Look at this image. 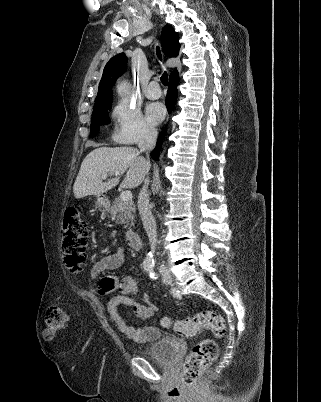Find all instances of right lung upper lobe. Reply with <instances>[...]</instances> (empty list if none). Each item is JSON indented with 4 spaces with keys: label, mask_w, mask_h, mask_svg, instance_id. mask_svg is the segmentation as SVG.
I'll return each mask as SVG.
<instances>
[{
    "label": "right lung upper lobe",
    "mask_w": 321,
    "mask_h": 402,
    "mask_svg": "<svg viewBox=\"0 0 321 402\" xmlns=\"http://www.w3.org/2000/svg\"><path fill=\"white\" fill-rule=\"evenodd\" d=\"M161 43L164 53L170 57H177L180 49L179 36L169 25L165 26L161 34ZM127 57L124 53L112 57L106 64L99 84L98 94L94 108L112 103V87L119 76L124 73ZM177 71L171 73L174 74Z\"/></svg>",
    "instance_id": "cb5924a9"
}]
</instances>
